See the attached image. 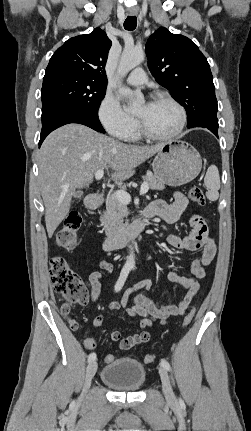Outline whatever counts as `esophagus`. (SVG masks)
<instances>
[{"label": "esophagus", "instance_id": "1", "mask_svg": "<svg viewBox=\"0 0 251 431\" xmlns=\"http://www.w3.org/2000/svg\"><path fill=\"white\" fill-rule=\"evenodd\" d=\"M131 16H134V15H136L137 14V12L136 11H130V13H129Z\"/></svg>", "mask_w": 251, "mask_h": 431}]
</instances>
